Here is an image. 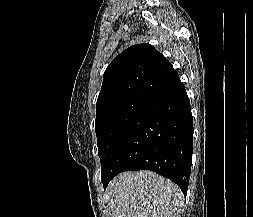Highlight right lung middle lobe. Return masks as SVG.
<instances>
[{"instance_id":"dd1d6c3e","label":"right lung middle lobe","mask_w":253,"mask_h":217,"mask_svg":"<svg viewBox=\"0 0 253 217\" xmlns=\"http://www.w3.org/2000/svg\"><path fill=\"white\" fill-rule=\"evenodd\" d=\"M148 100L131 98L110 104L96 113L95 132L98 154L101 160V173L117 141L147 106Z\"/></svg>"}]
</instances>
